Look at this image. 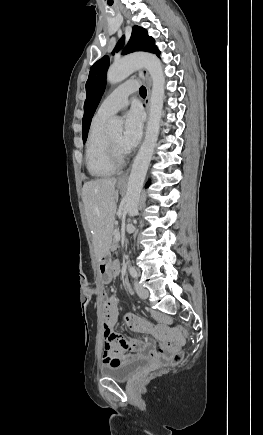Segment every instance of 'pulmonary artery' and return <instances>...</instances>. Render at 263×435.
I'll list each match as a JSON object with an SVG mask.
<instances>
[{
	"label": "pulmonary artery",
	"instance_id": "e3ab8cb5",
	"mask_svg": "<svg viewBox=\"0 0 263 435\" xmlns=\"http://www.w3.org/2000/svg\"><path fill=\"white\" fill-rule=\"evenodd\" d=\"M137 88L138 84L134 81H129L118 86L102 101L96 116L108 119L124 109L129 103V95L134 93Z\"/></svg>",
	"mask_w": 263,
	"mask_h": 435
}]
</instances>
